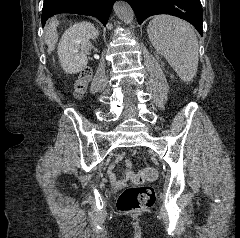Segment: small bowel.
<instances>
[{
  "label": "small bowel",
  "instance_id": "c3829d8e",
  "mask_svg": "<svg viewBox=\"0 0 240 238\" xmlns=\"http://www.w3.org/2000/svg\"><path fill=\"white\" fill-rule=\"evenodd\" d=\"M124 162L128 167L131 166L129 160L125 158V154L123 152L116 155L109 172V179L111 182H106V187H128L129 183L126 182V179H118L117 175L113 172L114 167L120 163Z\"/></svg>",
  "mask_w": 240,
  "mask_h": 238
}]
</instances>
